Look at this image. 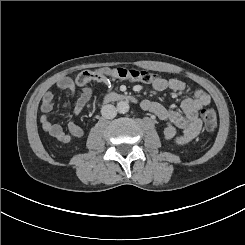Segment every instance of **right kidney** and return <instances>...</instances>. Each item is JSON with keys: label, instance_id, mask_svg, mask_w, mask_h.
I'll list each match as a JSON object with an SVG mask.
<instances>
[{"label": "right kidney", "instance_id": "obj_1", "mask_svg": "<svg viewBox=\"0 0 245 245\" xmlns=\"http://www.w3.org/2000/svg\"><path fill=\"white\" fill-rule=\"evenodd\" d=\"M70 136H71L72 139H76L77 136H78V132H73V133H71Z\"/></svg>", "mask_w": 245, "mask_h": 245}]
</instances>
